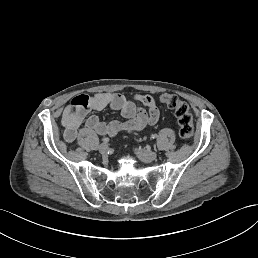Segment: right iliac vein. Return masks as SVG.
<instances>
[{
  "mask_svg": "<svg viewBox=\"0 0 258 258\" xmlns=\"http://www.w3.org/2000/svg\"><path fill=\"white\" fill-rule=\"evenodd\" d=\"M108 150H109V147H108V145L105 144V143H102V144H100V145L98 146V151H99L100 153H102V154L107 153Z\"/></svg>",
  "mask_w": 258,
  "mask_h": 258,
  "instance_id": "1",
  "label": "right iliac vein"
}]
</instances>
